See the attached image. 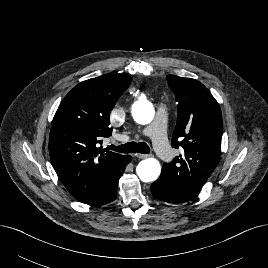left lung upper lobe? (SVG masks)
I'll list each match as a JSON object with an SVG mask.
<instances>
[{
    "instance_id": "1",
    "label": "left lung upper lobe",
    "mask_w": 268,
    "mask_h": 268,
    "mask_svg": "<svg viewBox=\"0 0 268 268\" xmlns=\"http://www.w3.org/2000/svg\"><path fill=\"white\" fill-rule=\"evenodd\" d=\"M166 78L178 102L172 147H182L184 154L171 163H164L160 178L198 195L220 157L221 110L209 90L199 81L175 75Z\"/></svg>"
}]
</instances>
